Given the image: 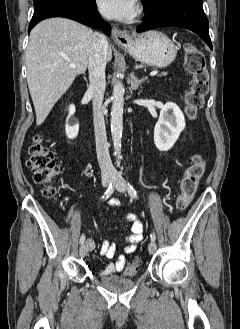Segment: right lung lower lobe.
<instances>
[{"label": "right lung lower lobe", "instance_id": "obj_1", "mask_svg": "<svg viewBox=\"0 0 240 329\" xmlns=\"http://www.w3.org/2000/svg\"><path fill=\"white\" fill-rule=\"evenodd\" d=\"M51 17L69 18L96 27L108 35L111 32L110 25L100 18L95 0L81 3L69 0H34V14L28 33L38 22Z\"/></svg>", "mask_w": 240, "mask_h": 329}]
</instances>
